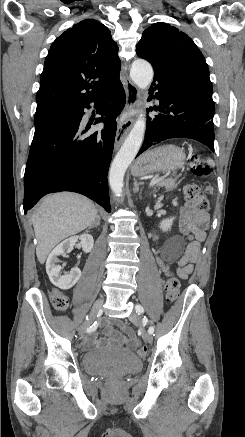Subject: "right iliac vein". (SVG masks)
Wrapping results in <instances>:
<instances>
[{
    "label": "right iliac vein",
    "mask_w": 245,
    "mask_h": 437,
    "mask_svg": "<svg viewBox=\"0 0 245 437\" xmlns=\"http://www.w3.org/2000/svg\"><path fill=\"white\" fill-rule=\"evenodd\" d=\"M103 303H104V299L100 298L96 300V302L93 304L88 320L85 323H83L79 328V333L81 336L84 335L86 328L90 325V323L92 322V320L94 319L100 308L102 307Z\"/></svg>",
    "instance_id": "right-iliac-vein-1"
}]
</instances>
